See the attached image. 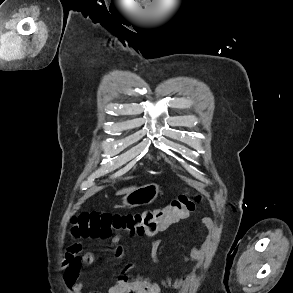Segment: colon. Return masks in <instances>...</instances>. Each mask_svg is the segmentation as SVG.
I'll list each match as a JSON object with an SVG mask.
<instances>
[{
	"instance_id": "obj_1",
	"label": "colon",
	"mask_w": 293,
	"mask_h": 293,
	"mask_svg": "<svg viewBox=\"0 0 293 293\" xmlns=\"http://www.w3.org/2000/svg\"><path fill=\"white\" fill-rule=\"evenodd\" d=\"M198 196L190 192L179 195L167 206L136 213L112 214L95 211L75 213L71 219V235L75 238L108 239L119 232L141 234L163 229L186 217L196 206ZM143 288L140 293H149Z\"/></svg>"
}]
</instances>
